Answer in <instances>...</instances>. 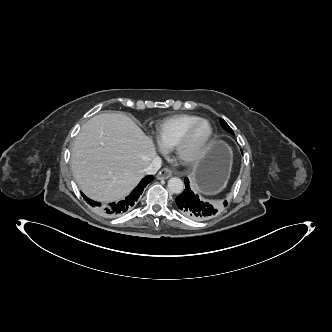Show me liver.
I'll return each mask as SVG.
<instances>
[{
  "label": "liver",
  "mask_w": 332,
  "mask_h": 332,
  "mask_svg": "<svg viewBox=\"0 0 332 332\" xmlns=\"http://www.w3.org/2000/svg\"><path fill=\"white\" fill-rule=\"evenodd\" d=\"M155 155L153 141L131 118L104 113L81 128L72 148L71 168L88 197L114 202L134 189Z\"/></svg>",
  "instance_id": "liver-1"
}]
</instances>
